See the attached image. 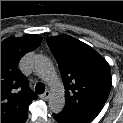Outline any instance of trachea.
<instances>
[{
	"instance_id": "trachea-1",
	"label": "trachea",
	"mask_w": 123,
	"mask_h": 123,
	"mask_svg": "<svg viewBox=\"0 0 123 123\" xmlns=\"http://www.w3.org/2000/svg\"><path fill=\"white\" fill-rule=\"evenodd\" d=\"M44 91H45V86H44V84H42V83H37L36 86H35V92H36L37 94H43Z\"/></svg>"
}]
</instances>
